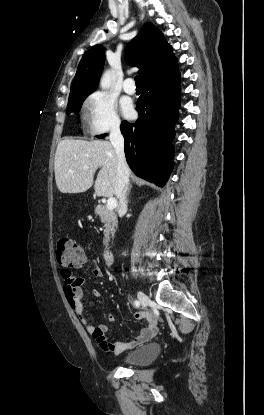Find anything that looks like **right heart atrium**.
<instances>
[{"instance_id": "1", "label": "right heart atrium", "mask_w": 264, "mask_h": 415, "mask_svg": "<svg viewBox=\"0 0 264 415\" xmlns=\"http://www.w3.org/2000/svg\"><path fill=\"white\" fill-rule=\"evenodd\" d=\"M87 125L93 133L118 130L120 118L115 101L103 92H94L86 100Z\"/></svg>"}]
</instances>
